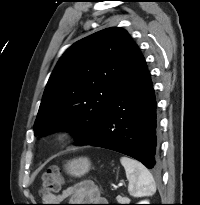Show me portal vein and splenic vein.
Wrapping results in <instances>:
<instances>
[{"instance_id":"portal-vein-and-splenic-vein-1","label":"portal vein and splenic vein","mask_w":200,"mask_h":205,"mask_svg":"<svg viewBox=\"0 0 200 205\" xmlns=\"http://www.w3.org/2000/svg\"><path fill=\"white\" fill-rule=\"evenodd\" d=\"M120 186H123V183H122V182H120V183L118 184V187H120Z\"/></svg>"}]
</instances>
